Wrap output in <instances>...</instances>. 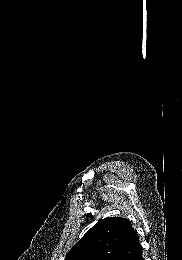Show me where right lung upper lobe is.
Segmentation results:
<instances>
[{"instance_id": "obj_1", "label": "right lung upper lobe", "mask_w": 182, "mask_h": 260, "mask_svg": "<svg viewBox=\"0 0 182 260\" xmlns=\"http://www.w3.org/2000/svg\"><path fill=\"white\" fill-rule=\"evenodd\" d=\"M141 251L131 222L122 217H107L87 231L65 260H132Z\"/></svg>"}]
</instances>
